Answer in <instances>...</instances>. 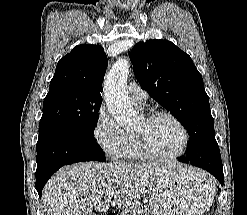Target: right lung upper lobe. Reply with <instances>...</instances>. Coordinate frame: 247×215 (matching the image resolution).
Instances as JSON below:
<instances>
[{"mask_svg":"<svg viewBox=\"0 0 247 215\" xmlns=\"http://www.w3.org/2000/svg\"><path fill=\"white\" fill-rule=\"evenodd\" d=\"M107 56L99 45H78L61 58L50 82L49 92L70 89L78 95L100 99Z\"/></svg>","mask_w":247,"mask_h":215,"instance_id":"1","label":"right lung upper lobe"}]
</instances>
